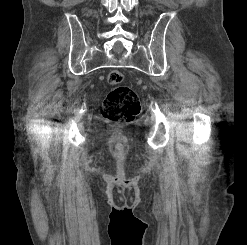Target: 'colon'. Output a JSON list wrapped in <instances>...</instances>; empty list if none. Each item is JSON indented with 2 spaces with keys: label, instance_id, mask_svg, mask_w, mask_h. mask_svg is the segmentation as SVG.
<instances>
[{
  "label": "colon",
  "instance_id": "1",
  "mask_svg": "<svg viewBox=\"0 0 247 245\" xmlns=\"http://www.w3.org/2000/svg\"><path fill=\"white\" fill-rule=\"evenodd\" d=\"M107 81L112 86L107 93L102 107V115L109 121H132L140 112V102L136 92L122 85L123 75L118 70H111Z\"/></svg>",
  "mask_w": 247,
  "mask_h": 245
}]
</instances>
